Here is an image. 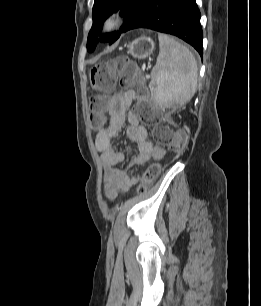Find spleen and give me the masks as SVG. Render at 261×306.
<instances>
[{"mask_svg": "<svg viewBox=\"0 0 261 306\" xmlns=\"http://www.w3.org/2000/svg\"><path fill=\"white\" fill-rule=\"evenodd\" d=\"M160 52L151 72V96L161 106L184 105L197 88L198 68L191 51L159 34Z\"/></svg>", "mask_w": 261, "mask_h": 306, "instance_id": "spleen-1", "label": "spleen"}]
</instances>
